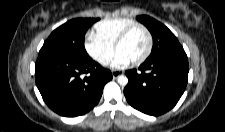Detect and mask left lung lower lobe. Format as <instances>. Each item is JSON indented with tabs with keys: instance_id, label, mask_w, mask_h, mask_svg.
<instances>
[{
	"instance_id": "left-lung-lower-lobe-1",
	"label": "left lung lower lobe",
	"mask_w": 225,
	"mask_h": 132,
	"mask_svg": "<svg viewBox=\"0 0 225 132\" xmlns=\"http://www.w3.org/2000/svg\"><path fill=\"white\" fill-rule=\"evenodd\" d=\"M186 53L146 60L138 70L125 72L129 82L124 89L128 103L152 116L173 108L182 96L188 78Z\"/></svg>"
}]
</instances>
